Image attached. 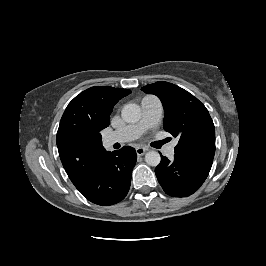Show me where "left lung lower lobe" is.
Returning a JSON list of instances; mask_svg holds the SVG:
<instances>
[{
    "mask_svg": "<svg viewBox=\"0 0 266 266\" xmlns=\"http://www.w3.org/2000/svg\"><path fill=\"white\" fill-rule=\"evenodd\" d=\"M213 157H193L175 154L170 161L161 155L155 174L165 193L186 197L196 192L207 178Z\"/></svg>",
    "mask_w": 266,
    "mask_h": 266,
    "instance_id": "obj_1",
    "label": "left lung lower lobe"
}]
</instances>
